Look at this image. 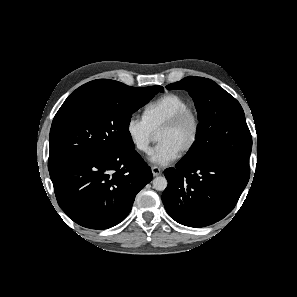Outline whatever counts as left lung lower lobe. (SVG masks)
Here are the masks:
<instances>
[{
  "instance_id": "0a47b994",
  "label": "left lung lower lobe",
  "mask_w": 297,
  "mask_h": 297,
  "mask_svg": "<svg viewBox=\"0 0 297 297\" xmlns=\"http://www.w3.org/2000/svg\"><path fill=\"white\" fill-rule=\"evenodd\" d=\"M168 186L162 201L168 214L189 227H204L223 219L235 207L250 170L216 159L179 161L164 171Z\"/></svg>"
}]
</instances>
